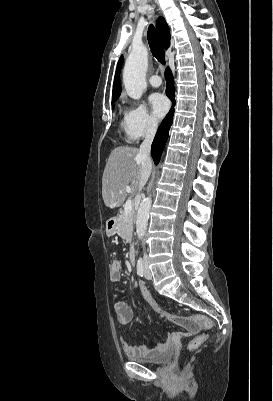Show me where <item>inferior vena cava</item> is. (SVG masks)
I'll return each instance as SVG.
<instances>
[{
  "mask_svg": "<svg viewBox=\"0 0 273 401\" xmlns=\"http://www.w3.org/2000/svg\"><path fill=\"white\" fill-rule=\"evenodd\" d=\"M156 130H157L156 124H152V126H149V128H147L145 132V140H143L142 144H140L139 156L141 158L142 170L139 182V190H141L142 186L146 184L150 176L152 168L150 150ZM137 196H139L140 198V194H137ZM144 259H147L146 253H144Z\"/></svg>",
  "mask_w": 273,
  "mask_h": 401,
  "instance_id": "602c4592",
  "label": "inferior vena cava"
}]
</instances>
